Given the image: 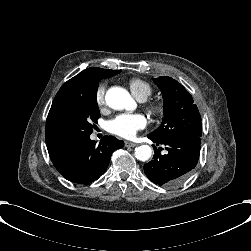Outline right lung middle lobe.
Instances as JSON below:
<instances>
[{"label":"right lung middle lobe","mask_w":251,"mask_h":251,"mask_svg":"<svg viewBox=\"0 0 251 251\" xmlns=\"http://www.w3.org/2000/svg\"><path fill=\"white\" fill-rule=\"evenodd\" d=\"M121 70H115L112 77ZM98 80L88 83L82 93L75 94L60 101L54 107V119L63 135L70 141L90 136L100 117L97 105ZM94 124V125H93Z\"/></svg>","instance_id":"1"}]
</instances>
